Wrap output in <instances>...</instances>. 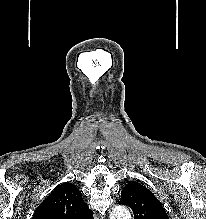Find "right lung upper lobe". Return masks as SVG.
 Returning <instances> with one entry per match:
<instances>
[{
  "instance_id": "cb5924a9",
  "label": "right lung upper lobe",
  "mask_w": 206,
  "mask_h": 219,
  "mask_svg": "<svg viewBox=\"0 0 206 219\" xmlns=\"http://www.w3.org/2000/svg\"><path fill=\"white\" fill-rule=\"evenodd\" d=\"M32 219H93V211L72 183H64L36 208Z\"/></svg>"
}]
</instances>
